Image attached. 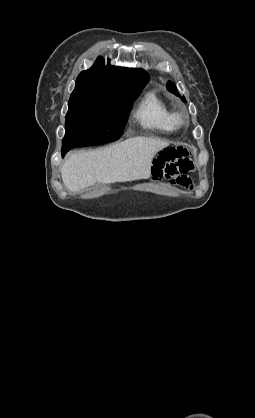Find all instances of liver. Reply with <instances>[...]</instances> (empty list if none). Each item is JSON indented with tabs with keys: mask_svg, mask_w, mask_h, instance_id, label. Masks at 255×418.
<instances>
[{
	"mask_svg": "<svg viewBox=\"0 0 255 418\" xmlns=\"http://www.w3.org/2000/svg\"><path fill=\"white\" fill-rule=\"evenodd\" d=\"M169 146L167 141L133 137L97 151H80L67 157L61 167L64 186L71 192L96 183L147 179L156 153Z\"/></svg>",
	"mask_w": 255,
	"mask_h": 418,
	"instance_id": "6515ba94",
	"label": "liver"
}]
</instances>
